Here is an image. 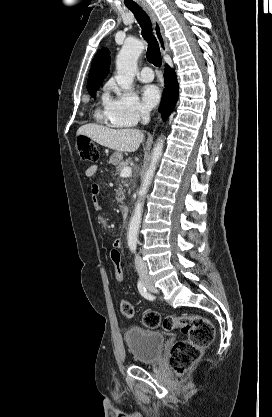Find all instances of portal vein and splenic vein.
<instances>
[{
    "mask_svg": "<svg viewBox=\"0 0 272 417\" xmlns=\"http://www.w3.org/2000/svg\"><path fill=\"white\" fill-rule=\"evenodd\" d=\"M122 176H131L132 170L130 167H124L120 173Z\"/></svg>",
    "mask_w": 272,
    "mask_h": 417,
    "instance_id": "1",
    "label": "portal vein and splenic vein"
}]
</instances>
